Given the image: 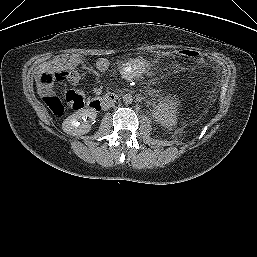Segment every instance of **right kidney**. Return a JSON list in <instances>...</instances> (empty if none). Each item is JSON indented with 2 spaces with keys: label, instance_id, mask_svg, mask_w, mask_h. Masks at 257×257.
<instances>
[{
  "label": "right kidney",
  "instance_id": "1",
  "mask_svg": "<svg viewBox=\"0 0 257 257\" xmlns=\"http://www.w3.org/2000/svg\"><path fill=\"white\" fill-rule=\"evenodd\" d=\"M96 119V113L92 109H82L67 117L62 123V129L67 134L80 136L91 130L90 123Z\"/></svg>",
  "mask_w": 257,
  "mask_h": 257
}]
</instances>
